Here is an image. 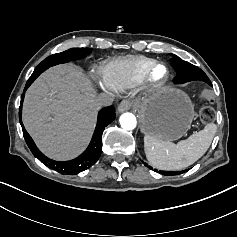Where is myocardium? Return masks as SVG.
Wrapping results in <instances>:
<instances>
[{
  "label": "myocardium",
  "mask_w": 237,
  "mask_h": 237,
  "mask_svg": "<svg viewBox=\"0 0 237 237\" xmlns=\"http://www.w3.org/2000/svg\"><path fill=\"white\" fill-rule=\"evenodd\" d=\"M159 66L164 67L165 74L162 78L156 79L153 76V72ZM169 75H170V71L167 64L164 62L155 61L144 72L143 77H142V82L146 83L148 86L152 88L161 87L168 81Z\"/></svg>",
  "instance_id": "1"
}]
</instances>
